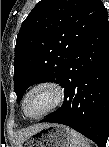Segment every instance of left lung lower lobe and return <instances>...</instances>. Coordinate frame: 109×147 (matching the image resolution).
<instances>
[{
	"label": "left lung lower lobe",
	"instance_id": "1",
	"mask_svg": "<svg viewBox=\"0 0 109 147\" xmlns=\"http://www.w3.org/2000/svg\"><path fill=\"white\" fill-rule=\"evenodd\" d=\"M64 103L40 122L67 125L99 147L109 136V21L107 11L71 55L60 82Z\"/></svg>",
	"mask_w": 109,
	"mask_h": 147
}]
</instances>
